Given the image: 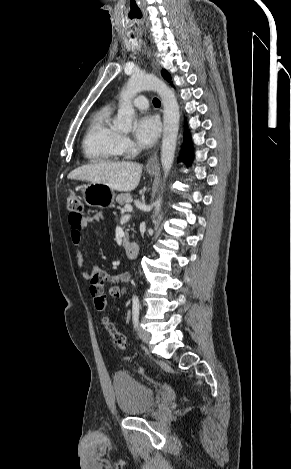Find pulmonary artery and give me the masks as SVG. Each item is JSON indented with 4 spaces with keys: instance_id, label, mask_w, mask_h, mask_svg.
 Instances as JSON below:
<instances>
[{
    "instance_id": "obj_1",
    "label": "pulmonary artery",
    "mask_w": 291,
    "mask_h": 469,
    "mask_svg": "<svg viewBox=\"0 0 291 469\" xmlns=\"http://www.w3.org/2000/svg\"><path fill=\"white\" fill-rule=\"evenodd\" d=\"M133 105L140 110H145L148 108V100L145 96L140 95L133 100Z\"/></svg>"
}]
</instances>
